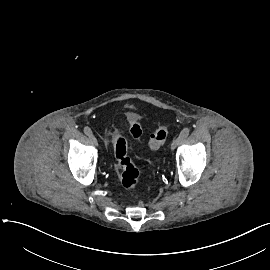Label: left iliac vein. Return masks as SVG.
Listing matches in <instances>:
<instances>
[{
    "mask_svg": "<svg viewBox=\"0 0 270 270\" xmlns=\"http://www.w3.org/2000/svg\"><path fill=\"white\" fill-rule=\"evenodd\" d=\"M182 138L179 136L176 139L173 140L172 144H171V150H174L178 147V145L182 142Z\"/></svg>",
    "mask_w": 270,
    "mask_h": 270,
    "instance_id": "left-iliac-vein-1",
    "label": "left iliac vein"
}]
</instances>
